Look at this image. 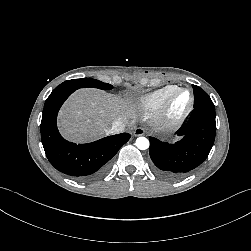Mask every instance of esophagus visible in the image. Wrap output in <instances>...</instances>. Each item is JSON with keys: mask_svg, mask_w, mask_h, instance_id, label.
Returning <instances> with one entry per match:
<instances>
[{"mask_svg": "<svg viewBox=\"0 0 251 251\" xmlns=\"http://www.w3.org/2000/svg\"><path fill=\"white\" fill-rule=\"evenodd\" d=\"M133 134L134 136H142L145 134V129L141 127L135 128Z\"/></svg>", "mask_w": 251, "mask_h": 251, "instance_id": "1", "label": "esophagus"}]
</instances>
